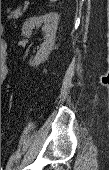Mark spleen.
Segmentation results:
<instances>
[{"label": "spleen", "mask_w": 109, "mask_h": 170, "mask_svg": "<svg viewBox=\"0 0 109 170\" xmlns=\"http://www.w3.org/2000/svg\"><path fill=\"white\" fill-rule=\"evenodd\" d=\"M51 2H56L57 0H50Z\"/></svg>", "instance_id": "3e777b00"}]
</instances>
